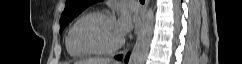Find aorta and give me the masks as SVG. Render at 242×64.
<instances>
[{
    "instance_id": "aorta-1",
    "label": "aorta",
    "mask_w": 242,
    "mask_h": 64,
    "mask_svg": "<svg viewBox=\"0 0 242 64\" xmlns=\"http://www.w3.org/2000/svg\"><path fill=\"white\" fill-rule=\"evenodd\" d=\"M154 21V10L150 7L144 15L142 27L132 50L129 64H144L153 36Z\"/></svg>"
}]
</instances>
